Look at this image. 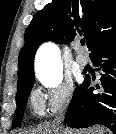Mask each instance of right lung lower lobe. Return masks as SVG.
<instances>
[{"instance_id":"1","label":"right lung lower lobe","mask_w":116,"mask_h":134,"mask_svg":"<svg viewBox=\"0 0 116 134\" xmlns=\"http://www.w3.org/2000/svg\"><path fill=\"white\" fill-rule=\"evenodd\" d=\"M90 57L102 77L93 86L90 79L84 80L73 95L65 122L73 128L101 124L116 134V37L93 50Z\"/></svg>"}]
</instances>
